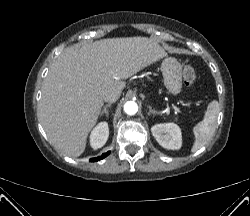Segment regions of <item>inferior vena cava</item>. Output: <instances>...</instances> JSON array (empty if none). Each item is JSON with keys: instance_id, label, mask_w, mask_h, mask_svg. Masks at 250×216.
<instances>
[{"instance_id": "1", "label": "inferior vena cava", "mask_w": 250, "mask_h": 216, "mask_svg": "<svg viewBox=\"0 0 250 216\" xmlns=\"http://www.w3.org/2000/svg\"><path fill=\"white\" fill-rule=\"evenodd\" d=\"M121 91L118 89H109L103 94V100L113 103L120 97Z\"/></svg>"}]
</instances>
